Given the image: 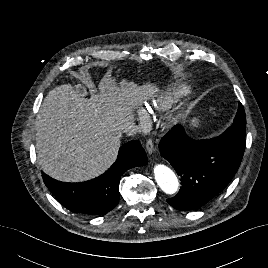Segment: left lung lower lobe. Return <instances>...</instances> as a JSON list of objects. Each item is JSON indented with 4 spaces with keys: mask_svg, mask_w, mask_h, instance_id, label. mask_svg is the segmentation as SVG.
Listing matches in <instances>:
<instances>
[{
    "mask_svg": "<svg viewBox=\"0 0 268 268\" xmlns=\"http://www.w3.org/2000/svg\"><path fill=\"white\" fill-rule=\"evenodd\" d=\"M159 149L181 176L178 194L167 200L178 210L200 208L218 195L236 174L245 150L226 136L190 139L180 125L161 139Z\"/></svg>",
    "mask_w": 268,
    "mask_h": 268,
    "instance_id": "1",
    "label": "left lung lower lobe"
}]
</instances>
